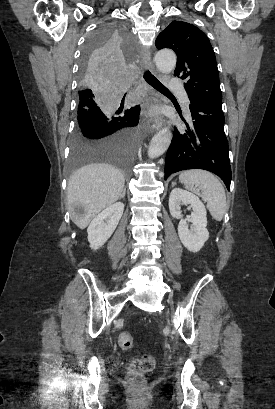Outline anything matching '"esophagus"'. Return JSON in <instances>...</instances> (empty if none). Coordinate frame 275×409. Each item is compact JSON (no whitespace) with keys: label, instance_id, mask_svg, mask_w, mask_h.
I'll return each mask as SVG.
<instances>
[{"label":"esophagus","instance_id":"esophagus-1","mask_svg":"<svg viewBox=\"0 0 275 409\" xmlns=\"http://www.w3.org/2000/svg\"><path fill=\"white\" fill-rule=\"evenodd\" d=\"M140 57H141V62H142V67H150L151 65V52L148 48L143 47L140 50ZM164 125V119L161 115H157L155 117L154 124L152 125V128L155 130L161 129V127Z\"/></svg>","mask_w":275,"mask_h":409}]
</instances>
